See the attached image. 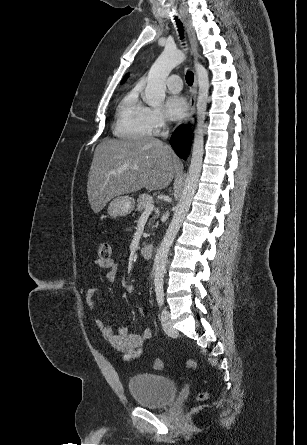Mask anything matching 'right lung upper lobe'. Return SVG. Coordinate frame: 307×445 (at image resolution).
I'll list each match as a JSON object with an SVG mask.
<instances>
[{
    "mask_svg": "<svg viewBox=\"0 0 307 445\" xmlns=\"http://www.w3.org/2000/svg\"><path fill=\"white\" fill-rule=\"evenodd\" d=\"M127 76L124 77V79L122 80V82H124L126 80Z\"/></svg>",
    "mask_w": 307,
    "mask_h": 445,
    "instance_id": "right-lung-upper-lobe-1",
    "label": "right lung upper lobe"
}]
</instances>
